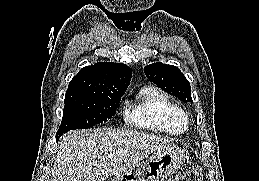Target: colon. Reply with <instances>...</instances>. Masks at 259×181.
Listing matches in <instances>:
<instances>
[{
  "mask_svg": "<svg viewBox=\"0 0 259 181\" xmlns=\"http://www.w3.org/2000/svg\"><path fill=\"white\" fill-rule=\"evenodd\" d=\"M173 181H202V172L200 166H188L186 170L177 175Z\"/></svg>",
  "mask_w": 259,
  "mask_h": 181,
  "instance_id": "1",
  "label": "colon"
}]
</instances>
